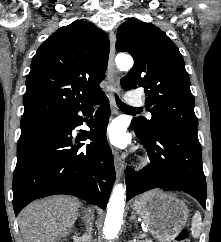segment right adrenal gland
<instances>
[{"label": "right adrenal gland", "mask_w": 221, "mask_h": 242, "mask_svg": "<svg viewBox=\"0 0 221 242\" xmlns=\"http://www.w3.org/2000/svg\"><path fill=\"white\" fill-rule=\"evenodd\" d=\"M78 216H82V220L86 224L87 220L91 217V210L82 206V212Z\"/></svg>", "instance_id": "right-adrenal-gland-1"}]
</instances>
